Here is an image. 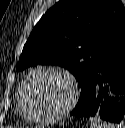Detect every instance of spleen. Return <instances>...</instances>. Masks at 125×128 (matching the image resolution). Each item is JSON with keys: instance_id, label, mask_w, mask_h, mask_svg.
<instances>
[{"instance_id": "1", "label": "spleen", "mask_w": 125, "mask_h": 128, "mask_svg": "<svg viewBox=\"0 0 125 128\" xmlns=\"http://www.w3.org/2000/svg\"><path fill=\"white\" fill-rule=\"evenodd\" d=\"M90 128H113L112 125H109L106 122H103L100 118L98 117H92L90 119Z\"/></svg>"}]
</instances>
